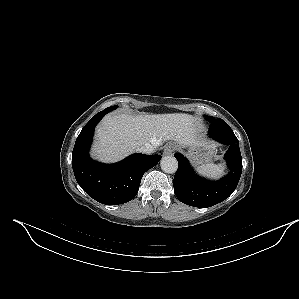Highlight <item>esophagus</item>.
I'll use <instances>...</instances> for the list:
<instances>
[{"instance_id": "1", "label": "esophagus", "mask_w": 299, "mask_h": 299, "mask_svg": "<svg viewBox=\"0 0 299 299\" xmlns=\"http://www.w3.org/2000/svg\"><path fill=\"white\" fill-rule=\"evenodd\" d=\"M175 149H176V146L173 143H169L165 146L163 154L170 155L175 151Z\"/></svg>"}]
</instances>
